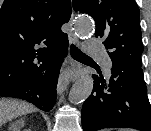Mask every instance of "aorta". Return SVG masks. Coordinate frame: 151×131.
<instances>
[{"label": "aorta", "mask_w": 151, "mask_h": 131, "mask_svg": "<svg viewBox=\"0 0 151 131\" xmlns=\"http://www.w3.org/2000/svg\"><path fill=\"white\" fill-rule=\"evenodd\" d=\"M76 33L81 37H88L94 31V24L90 17L86 15L79 16L74 23ZM94 80L91 76L81 77L71 88L69 93V102L78 104L87 99L93 90Z\"/></svg>", "instance_id": "1"}]
</instances>
